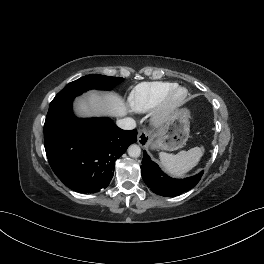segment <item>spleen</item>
Instances as JSON below:
<instances>
[{"instance_id":"3e777b00","label":"spleen","mask_w":264,"mask_h":264,"mask_svg":"<svg viewBox=\"0 0 264 264\" xmlns=\"http://www.w3.org/2000/svg\"><path fill=\"white\" fill-rule=\"evenodd\" d=\"M204 153V147H194L178 154L161 153V165L167 173L174 177H183L194 168Z\"/></svg>"}]
</instances>
